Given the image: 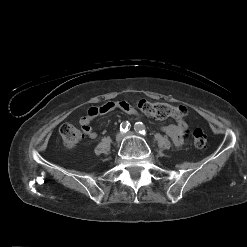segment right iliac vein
Returning <instances> with one entry per match:
<instances>
[{
	"instance_id": "1",
	"label": "right iliac vein",
	"mask_w": 247,
	"mask_h": 247,
	"mask_svg": "<svg viewBox=\"0 0 247 247\" xmlns=\"http://www.w3.org/2000/svg\"><path fill=\"white\" fill-rule=\"evenodd\" d=\"M123 139V134L122 133H118L116 135V142L119 144Z\"/></svg>"
}]
</instances>
